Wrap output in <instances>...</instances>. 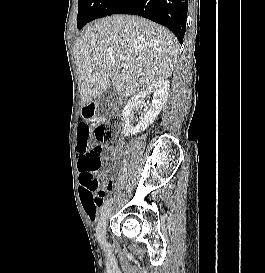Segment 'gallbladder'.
<instances>
[{
  "mask_svg": "<svg viewBox=\"0 0 265 273\" xmlns=\"http://www.w3.org/2000/svg\"><path fill=\"white\" fill-rule=\"evenodd\" d=\"M120 105V98L114 86L109 87L98 99V110L102 115H109Z\"/></svg>",
  "mask_w": 265,
  "mask_h": 273,
  "instance_id": "obj_1",
  "label": "gallbladder"
}]
</instances>
